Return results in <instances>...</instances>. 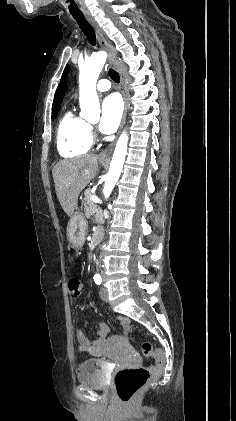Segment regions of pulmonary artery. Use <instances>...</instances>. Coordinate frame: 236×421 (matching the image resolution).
<instances>
[{
    "label": "pulmonary artery",
    "mask_w": 236,
    "mask_h": 421,
    "mask_svg": "<svg viewBox=\"0 0 236 421\" xmlns=\"http://www.w3.org/2000/svg\"><path fill=\"white\" fill-rule=\"evenodd\" d=\"M96 88L98 91H108L111 88V83L108 79H101L98 81Z\"/></svg>",
    "instance_id": "1"
}]
</instances>
